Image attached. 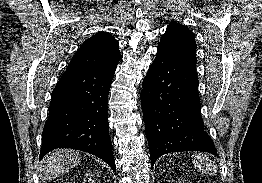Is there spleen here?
Returning a JSON list of instances; mask_svg holds the SVG:
<instances>
[{
    "instance_id": "1",
    "label": "spleen",
    "mask_w": 262,
    "mask_h": 183,
    "mask_svg": "<svg viewBox=\"0 0 262 183\" xmlns=\"http://www.w3.org/2000/svg\"><path fill=\"white\" fill-rule=\"evenodd\" d=\"M193 163L197 166L200 170L212 174L215 172V166L212 160L204 154H195Z\"/></svg>"
}]
</instances>
